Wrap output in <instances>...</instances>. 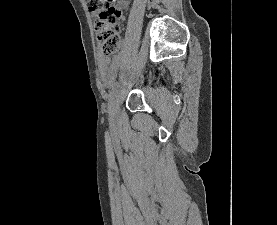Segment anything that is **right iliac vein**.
I'll use <instances>...</instances> for the list:
<instances>
[{
    "label": "right iliac vein",
    "mask_w": 277,
    "mask_h": 225,
    "mask_svg": "<svg viewBox=\"0 0 277 225\" xmlns=\"http://www.w3.org/2000/svg\"><path fill=\"white\" fill-rule=\"evenodd\" d=\"M119 113V96L116 95L113 101V107H112V119H116Z\"/></svg>",
    "instance_id": "1"
}]
</instances>
